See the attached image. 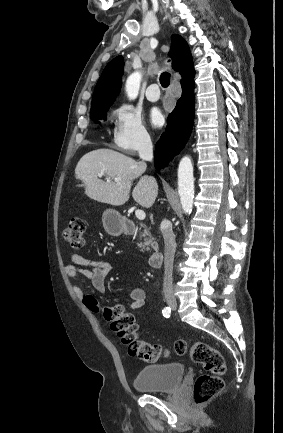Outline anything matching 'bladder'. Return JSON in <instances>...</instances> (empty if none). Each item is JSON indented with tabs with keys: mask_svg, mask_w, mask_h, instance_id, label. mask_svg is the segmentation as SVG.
Instances as JSON below:
<instances>
[{
	"mask_svg": "<svg viewBox=\"0 0 283 433\" xmlns=\"http://www.w3.org/2000/svg\"><path fill=\"white\" fill-rule=\"evenodd\" d=\"M184 373V366L180 363L142 367L133 380V386L145 392H168L178 387Z\"/></svg>",
	"mask_w": 283,
	"mask_h": 433,
	"instance_id": "bladder-1",
	"label": "bladder"
}]
</instances>
